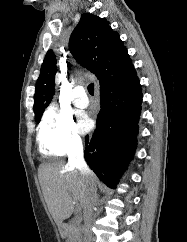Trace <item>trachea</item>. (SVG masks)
Returning a JSON list of instances; mask_svg holds the SVG:
<instances>
[{"label":"trachea","instance_id":"1","mask_svg":"<svg viewBox=\"0 0 187 242\" xmlns=\"http://www.w3.org/2000/svg\"><path fill=\"white\" fill-rule=\"evenodd\" d=\"M88 92L90 95H92V96L94 95V83H90L88 85Z\"/></svg>","mask_w":187,"mask_h":242}]
</instances>
